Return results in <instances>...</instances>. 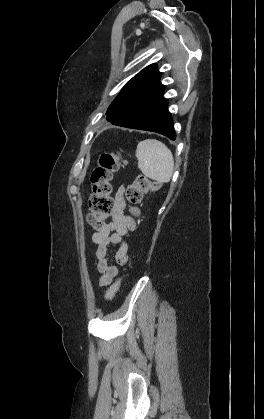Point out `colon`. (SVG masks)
Masks as SVG:
<instances>
[{
	"label": "colon",
	"mask_w": 264,
	"mask_h": 419,
	"mask_svg": "<svg viewBox=\"0 0 264 419\" xmlns=\"http://www.w3.org/2000/svg\"><path fill=\"white\" fill-rule=\"evenodd\" d=\"M123 164L121 157L113 152H103L98 165L91 175L92 194L89 199V214L87 220L95 229H101L103 220L110 216L115 207L112 197L114 173ZM157 184L147 177L139 175L126 189V198L130 203L129 211L133 216L139 215L138 205L144 193L157 189ZM120 280H116L108 289L106 299L112 300L116 295Z\"/></svg>",
	"instance_id": "1"
}]
</instances>
